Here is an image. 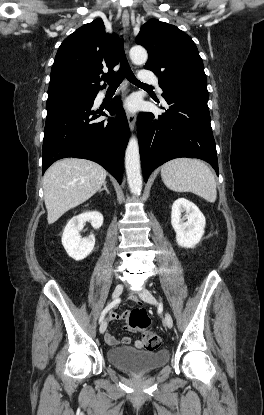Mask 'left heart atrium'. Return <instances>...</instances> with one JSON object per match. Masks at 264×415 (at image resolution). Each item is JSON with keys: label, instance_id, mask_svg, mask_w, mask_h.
I'll use <instances>...</instances> for the list:
<instances>
[{"label": "left heart atrium", "instance_id": "obj_1", "mask_svg": "<svg viewBox=\"0 0 264 415\" xmlns=\"http://www.w3.org/2000/svg\"><path fill=\"white\" fill-rule=\"evenodd\" d=\"M126 107H127L129 110H135V108H136V102H135V100H134V99H130V100L127 102V104H126Z\"/></svg>", "mask_w": 264, "mask_h": 415}]
</instances>
